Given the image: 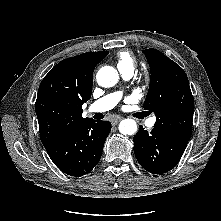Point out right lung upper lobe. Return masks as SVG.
<instances>
[{
    "label": "right lung upper lobe",
    "mask_w": 221,
    "mask_h": 221,
    "mask_svg": "<svg viewBox=\"0 0 221 221\" xmlns=\"http://www.w3.org/2000/svg\"><path fill=\"white\" fill-rule=\"evenodd\" d=\"M108 53L62 60L43 78L35 104L43 145L90 120L82 117V105L91 97L94 68Z\"/></svg>",
    "instance_id": "1"
}]
</instances>
